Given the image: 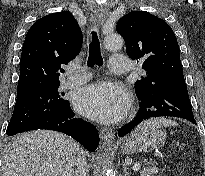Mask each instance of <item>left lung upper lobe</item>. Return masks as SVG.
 <instances>
[{
  "instance_id": "5c2ea615",
  "label": "left lung upper lobe",
  "mask_w": 205,
  "mask_h": 176,
  "mask_svg": "<svg viewBox=\"0 0 205 176\" xmlns=\"http://www.w3.org/2000/svg\"><path fill=\"white\" fill-rule=\"evenodd\" d=\"M116 30L124 38L128 56L141 61L146 71L135 83L140 98L166 84L185 83L178 42L164 20L146 11H133L118 21Z\"/></svg>"
}]
</instances>
